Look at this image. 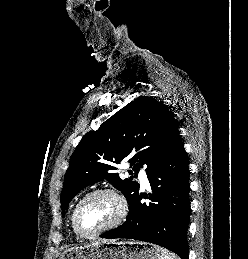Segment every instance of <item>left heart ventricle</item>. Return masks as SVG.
<instances>
[{"instance_id":"1","label":"left heart ventricle","mask_w":248,"mask_h":259,"mask_svg":"<svg viewBox=\"0 0 248 259\" xmlns=\"http://www.w3.org/2000/svg\"><path fill=\"white\" fill-rule=\"evenodd\" d=\"M119 211V203L113 196L109 194L96 195L81 206L78 222L84 232L93 233L113 222Z\"/></svg>"}]
</instances>
